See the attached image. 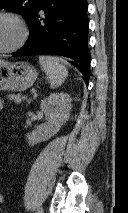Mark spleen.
<instances>
[{
	"label": "spleen",
	"instance_id": "spleen-1",
	"mask_svg": "<svg viewBox=\"0 0 128 213\" xmlns=\"http://www.w3.org/2000/svg\"><path fill=\"white\" fill-rule=\"evenodd\" d=\"M39 62L42 70L46 73L52 89L59 87L68 76L65 60L53 56H40Z\"/></svg>",
	"mask_w": 128,
	"mask_h": 213
}]
</instances>
